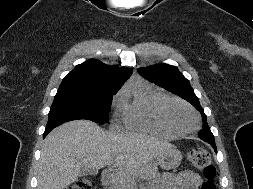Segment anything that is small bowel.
Returning <instances> with one entry per match:
<instances>
[{
    "label": "small bowel",
    "instance_id": "1",
    "mask_svg": "<svg viewBox=\"0 0 253 189\" xmlns=\"http://www.w3.org/2000/svg\"><path fill=\"white\" fill-rule=\"evenodd\" d=\"M201 177L190 170H183L177 174H163L156 185V189H199Z\"/></svg>",
    "mask_w": 253,
    "mask_h": 189
}]
</instances>
